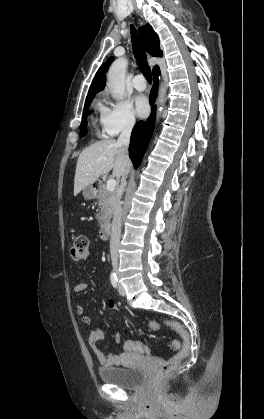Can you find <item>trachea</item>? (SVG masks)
<instances>
[{
  "mask_svg": "<svg viewBox=\"0 0 264 419\" xmlns=\"http://www.w3.org/2000/svg\"><path fill=\"white\" fill-rule=\"evenodd\" d=\"M131 38H132V49L134 57L139 65L141 72L149 83L152 82L151 70L147 64V57L144 48L138 38L137 32L133 26H131Z\"/></svg>",
  "mask_w": 264,
  "mask_h": 419,
  "instance_id": "1",
  "label": "trachea"
}]
</instances>
